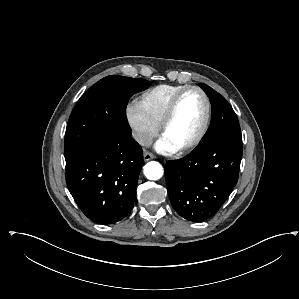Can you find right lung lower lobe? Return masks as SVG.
Masks as SVG:
<instances>
[{"instance_id":"98d812e1","label":"right lung lower lobe","mask_w":299,"mask_h":299,"mask_svg":"<svg viewBox=\"0 0 299 299\" xmlns=\"http://www.w3.org/2000/svg\"><path fill=\"white\" fill-rule=\"evenodd\" d=\"M143 164V151L131 134L108 137L66 161V183L88 218L112 224L132 210Z\"/></svg>"}]
</instances>
